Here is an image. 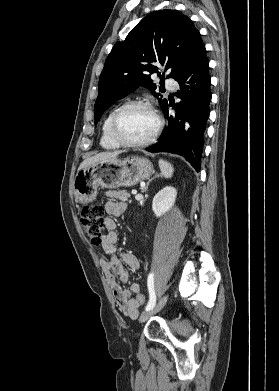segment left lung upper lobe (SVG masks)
<instances>
[{
  "label": "left lung upper lobe",
  "mask_w": 279,
  "mask_h": 391,
  "mask_svg": "<svg viewBox=\"0 0 279 391\" xmlns=\"http://www.w3.org/2000/svg\"><path fill=\"white\" fill-rule=\"evenodd\" d=\"M204 47L200 32L189 17L175 10H160L143 18L123 42H117L108 55L99 79L95 103L97 123L115 101L126 97L140 86H145L158 99L163 110L168 104L151 74L157 73L164 81L177 80L192 64Z\"/></svg>",
  "instance_id": "1"
}]
</instances>
